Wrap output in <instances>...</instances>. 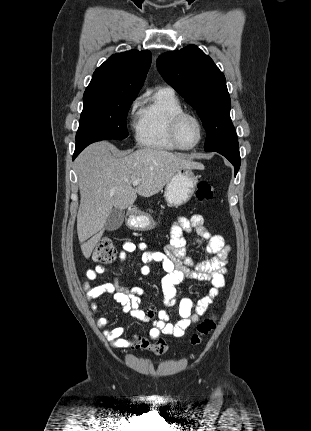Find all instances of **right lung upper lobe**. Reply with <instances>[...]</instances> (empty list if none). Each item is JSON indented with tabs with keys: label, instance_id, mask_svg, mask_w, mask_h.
<instances>
[{
	"label": "right lung upper lobe",
	"instance_id": "right-lung-upper-lobe-1",
	"mask_svg": "<svg viewBox=\"0 0 311 431\" xmlns=\"http://www.w3.org/2000/svg\"><path fill=\"white\" fill-rule=\"evenodd\" d=\"M148 50L112 55L93 73L85 93L100 92L137 96L151 64Z\"/></svg>",
	"mask_w": 311,
	"mask_h": 431
}]
</instances>
